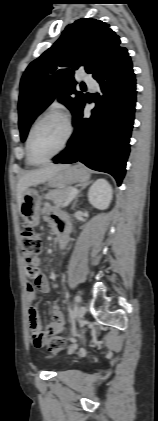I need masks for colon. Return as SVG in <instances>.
<instances>
[{
	"label": "colon",
	"mask_w": 158,
	"mask_h": 421,
	"mask_svg": "<svg viewBox=\"0 0 158 421\" xmlns=\"http://www.w3.org/2000/svg\"><path fill=\"white\" fill-rule=\"evenodd\" d=\"M21 246L24 260L28 267H34L42 250L40 236L30 227H25L21 233ZM35 343H40V338H35ZM48 350L52 353L58 352L65 347V340L57 335H52L44 341Z\"/></svg>",
	"instance_id": "1"
}]
</instances>
